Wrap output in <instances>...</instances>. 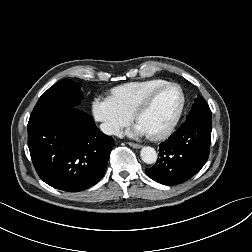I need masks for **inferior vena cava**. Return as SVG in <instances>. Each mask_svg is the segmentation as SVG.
<instances>
[{
  "instance_id": "1",
  "label": "inferior vena cava",
  "mask_w": 252,
  "mask_h": 252,
  "mask_svg": "<svg viewBox=\"0 0 252 252\" xmlns=\"http://www.w3.org/2000/svg\"><path fill=\"white\" fill-rule=\"evenodd\" d=\"M100 129L103 133L108 134V135H119L120 128L117 125H112L109 123H102L100 125Z\"/></svg>"
}]
</instances>
